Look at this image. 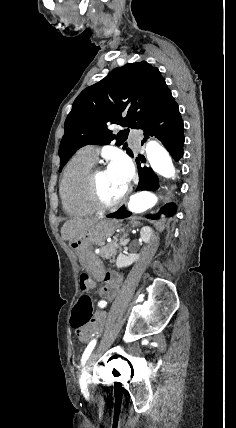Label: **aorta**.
Masks as SVG:
<instances>
[{"instance_id": "1", "label": "aorta", "mask_w": 236, "mask_h": 428, "mask_svg": "<svg viewBox=\"0 0 236 428\" xmlns=\"http://www.w3.org/2000/svg\"><path fill=\"white\" fill-rule=\"evenodd\" d=\"M146 155L152 170L166 178H174L175 167L166 149L156 141L146 145ZM157 203V197L148 191H141L131 196L128 209L134 213H142Z\"/></svg>"}]
</instances>
